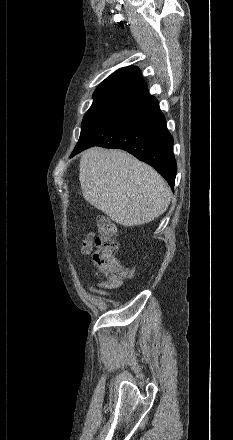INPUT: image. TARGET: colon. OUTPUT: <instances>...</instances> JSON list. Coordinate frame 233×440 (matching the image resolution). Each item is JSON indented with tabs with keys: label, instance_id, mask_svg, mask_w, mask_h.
Returning a JSON list of instances; mask_svg holds the SVG:
<instances>
[{
	"label": "colon",
	"instance_id": "1",
	"mask_svg": "<svg viewBox=\"0 0 233 440\" xmlns=\"http://www.w3.org/2000/svg\"><path fill=\"white\" fill-rule=\"evenodd\" d=\"M98 232L99 235L95 238L96 251L93 254V261L98 272L115 284L130 279L134 270L122 265L116 259L118 250V242L115 238L116 230L108 217L98 216Z\"/></svg>",
	"mask_w": 233,
	"mask_h": 440
}]
</instances>
